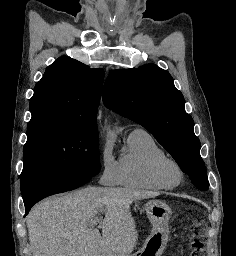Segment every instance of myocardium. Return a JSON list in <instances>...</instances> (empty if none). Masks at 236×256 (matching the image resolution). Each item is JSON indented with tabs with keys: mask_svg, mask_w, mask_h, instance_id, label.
<instances>
[{
	"mask_svg": "<svg viewBox=\"0 0 236 256\" xmlns=\"http://www.w3.org/2000/svg\"><path fill=\"white\" fill-rule=\"evenodd\" d=\"M153 175L161 183L176 186L184 178V170L174 158L165 157L157 160L153 166Z\"/></svg>",
	"mask_w": 236,
	"mask_h": 256,
	"instance_id": "f54148a6",
	"label": "myocardium"
}]
</instances>
